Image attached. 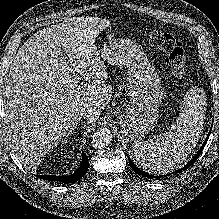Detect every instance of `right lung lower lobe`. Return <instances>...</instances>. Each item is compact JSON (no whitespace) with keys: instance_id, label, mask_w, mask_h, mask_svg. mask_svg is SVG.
Returning <instances> with one entry per match:
<instances>
[{"instance_id":"1","label":"right lung lower lobe","mask_w":219,"mask_h":219,"mask_svg":"<svg viewBox=\"0 0 219 219\" xmlns=\"http://www.w3.org/2000/svg\"><path fill=\"white\" fill-rule=\"evenodd\" d=\"M89 162L88 157L83 153L79 168L71 175L55 176V175H40L39 178L48 181H58L63 183H74L78 181L88 171Z\"/></svg>"}]
</instances>
